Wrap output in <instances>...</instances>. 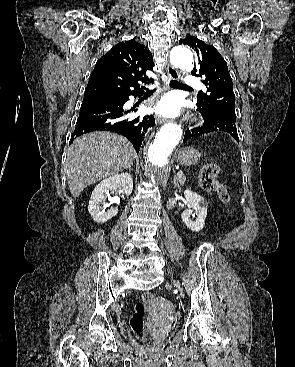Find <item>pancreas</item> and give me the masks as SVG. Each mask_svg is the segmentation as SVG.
I'll return each mask as SVG.
<instances>
[{"instance_id": "cf45deb5", "label": "pancreas", "mask_w": 295, "mask_h": 367, "mask_svg": "<svg viewBox=\"0 0 295 367\" xmlns=\"http://www.w3.org/2000/svg\"><path fill=\"white\" fill-rule=\"evenodd\" d=\"M178 183H180L181 185H183L186 181V176L182 175V176H178L177 178Z\"/></svg>"}]
</instances>
